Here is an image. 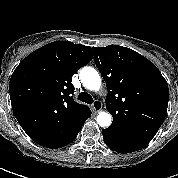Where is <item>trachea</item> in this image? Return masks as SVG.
<instances>
[{"label":"trachea","instance_id":"obj_1","mask_svg":"<svg viewBox=\"0 0 178 178\" xmlns=\"http://www.w3.org/2000/svg\"><path fill=\"white\" fill-rule=\"evenodd\" d=\"M78 100L85 102L87 104H92L93 103V98L90 94H88L87 92H81L78 95Z\"/></svg>","mask_w":178,"mask_h":178}]
</instances>
